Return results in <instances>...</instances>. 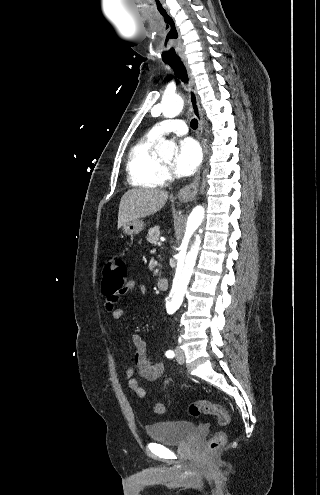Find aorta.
<instances>
[{
	"label": "aorta",
	"instance_id": "aorta-1",
	"mask_svg": "<svg viewBox=\"0 0 320 495\" xmlns=\"http://www.w3.org/2000/svg\"><path fill=\"white\" fill-rule=\"evenodd\" d=\"M184 107V100L179 96H166L160 105L152 108L151 113H162L166 118L177 117ZM176 145L168 140L157 146L159 156L172 157ZM214 207L209 204L196 206L190 215L178 228V257L177 268L171 293L166 304L168 313H174L183 302L190 278L192 276L197 257L200 254L203 238L211 225V217Z\"/></svg>",
	"mask_w": 320,
	"mask_h": 495
}]
</instances>
